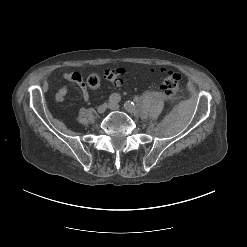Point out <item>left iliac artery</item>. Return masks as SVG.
I'll return each instance as SVG.
<instances>
[{
  "label": "left iliac artery",
  "mask_w": 247,
  "mask_h": 247,
  "mask_svg": "<svg viewBox=\"0 0 247 247\" xmlns=\"http://www.w3.org/2000/svg\"><path fill=\"white\" fill-rule=\"evenodd\" d=\"M124 107L126 110H128V113L130 115H135L136 114V108H135V103L132 101H126L124 104Z\"/></svg>",
  "instance_id": "left-iliac-artery-1"
}]
</instances>
